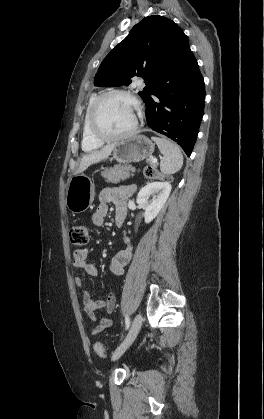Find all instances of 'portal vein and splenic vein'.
I'll use <instances>...</instances> for the list:
<instances>
[{"label": "portal vein and splenic vein", "instance_id": "portal-vein-and-splenic-vein-1", "mask_svg": "<svg viewBox=\"0 0 264 419\" xmlns=\"http://www.w3.org/2000/svg\"><path fill=\"white\" fill-rule=\"evenodd\" d=\"M153 163H157V159L156 158H152L151 159Z\"/></svg>", "mask_w": 264, "mask_h": 419}]
</instances>
